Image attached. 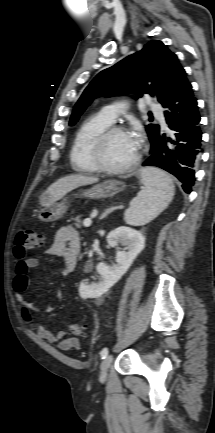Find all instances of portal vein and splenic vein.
Returning a JSON list of instances; mask_svg holds the SVG:
<instances>
[{"label": "portal vein and splenic vein", "instance_id": "portal-vein-and-splenic-vein-1", "mask_svg": "<svg viewBox=\"0 0 215 433\" xmlns=\"http://www.w3.org/2000/svg\"><path fill=\"white\" fill-rule=\"evenodd\" d=\"M83 224H84L85 227H89V226H91V224H92V220H91V218H86V219L84 220Z\"/></svg>", "mask_w": 215, "mask_h": 433}]
</instances>
